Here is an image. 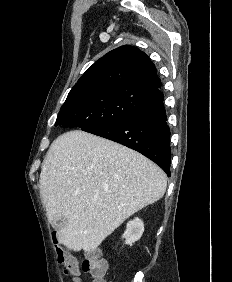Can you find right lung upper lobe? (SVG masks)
I'll use <instances>...</instances> for the list:
<instances>
[{"instance_id":"obj_1","label":"right lung upper lobe","mask_w":232,"mask_h":282,"mask_svg":"<svg viewBox=\"0 0 232 282\" xmlns=\"http://www.w3.org/2000/svg\"><path fill=\"white\" fill-rule=\"evenodd\" d=\"M160 87L156 68L148 56L139 48L124 45L98 59L79 78L67 99L110 89L135 90L147 94L155 106L164 99Z\"/></svg>"}]
</instances>
